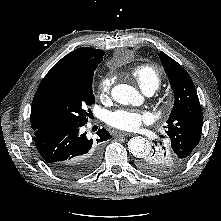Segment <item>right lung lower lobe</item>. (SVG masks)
I'll return each mask as SVG.
<instances>
[{
  "label": "right lung lower lobe",
  "instance_id": "obj_1",
  "mask_svg": "<svg viewBox=\"0 0 221 221\" xmlns=\"http://www.w3.org/2000/svg\"><path fill=\"white\" fill-rule=\"evenodd\" d=\"M96 141L81 132V126L70 129H40L34 131L38 152L56 173L64 177H79L92 171L99 163L101 144L111 138L104 128Z\"/></svg>",
  "mask_w": 221,
  "mask_h": 221
}]
</instances>
